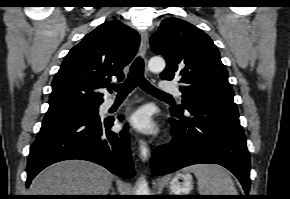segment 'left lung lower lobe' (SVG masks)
Masks as SVG:
<instances>
[{"instance_id": "left-lung-lower-lobe-1", "label": "left lung lower lobe", "mask_w": 290, "mask_h": 199, "mask_svg": "<svg viewBox=\"0 0 290 199\" xmlns=\"http://www.w3.org/2000/svg\"><path fill=\"white\" fill-rule=\"evenodd\" d=\"M170 110L174 117L170 119L173 139L154 151L153 174L165 175L193 164H219L239 179L249 198L250 156L238 112L200 102H189L182 110Z\"/></svg>"}]
</instances>
